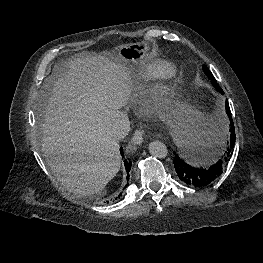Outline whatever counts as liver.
I'll return each instance as SVG.
<instances>
[{
    "mask_svg": "<svg viewBox=\"0 0 263 263\" xmlns=\"http://www.w3.org/2000/svg\"><path fill=\"white\" fill-rule=\"evenodd\" d=\"M82 53L52 82L42 124V151L57 179L82 195L99 193L121 165L118 141L108 132L112 119L135 90L132 66L117 54ZM51 79H46L45 87ZM140 95H144L140 92ZM177 126L198 120L191 107L177 104Z\"/></svg>",
    "mask_w": 263,
    "mask_h": 263,
    "instance_id": "1",
    "label": "liver"
}]
</instances>
